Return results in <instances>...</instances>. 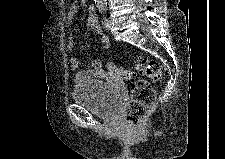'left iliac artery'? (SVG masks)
I'll list each match as a JSON object with an SVG mask.
<instances>
[{
	"label": "left iliac artery",
	"mask_w": 225,
	"mask_h": 159,
	"mask_svg": "<svg viewBox=\"0 0 225 159\" xmlns=\"http://www.w3.org/2000/svg\"><path fill=\"white\" fill-rule=\"evenodd\" d=\"M106 10H107L106 7H102V6L99 7V12L101 14H105ZM102 24H103L104 27H106L108 25V19L106 18V16H103V18H102Z\"/></svg>",
	"instance_id": "left-iliac-artery-1"
}]
</instances>
